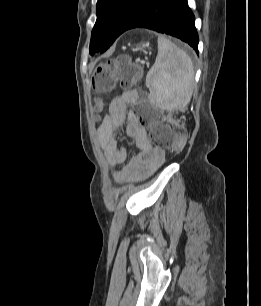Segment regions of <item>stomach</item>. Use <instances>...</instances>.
<instances>
[{"mask_svg":"<svg viewBox=\"0 0 261 306\" xmlns=\"http://www.w3.org/2000/svg\"><path fill=\"white\" fill-rule=\"evenodd\" d=\"M147 46L145 44H140L138 49L139 50H144Z\"/></svg>","mask_w":261,"mask_h":306,"instance_id":"stomach-1","label":"stomach"}]
</instances>
